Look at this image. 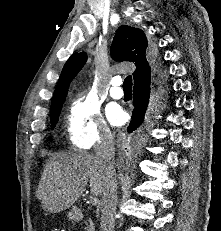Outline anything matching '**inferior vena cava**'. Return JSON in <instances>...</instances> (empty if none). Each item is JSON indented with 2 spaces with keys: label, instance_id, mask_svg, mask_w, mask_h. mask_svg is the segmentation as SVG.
<instances>
[{
  "label": "inferior vena cava",
  "instance_id": "602c4592",
  "mask_svg": "<svg viewBox=\"0 0 221 231\" xmlns=\"http://www.w3.org/2000/svg\"><path fill=\"white\" fill-rule=\"evenodd\" d=\"M95 156L105 173V187L101 201V231L115 230V211L117 206L118 182L114 168V138L110 130L105 129L100 133L98 143L94 147Z\"/></svg>",
  "mask_w": 221,
  "mask_h": 231
}]
</instances>
